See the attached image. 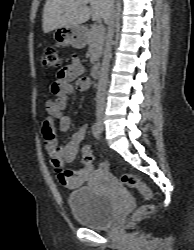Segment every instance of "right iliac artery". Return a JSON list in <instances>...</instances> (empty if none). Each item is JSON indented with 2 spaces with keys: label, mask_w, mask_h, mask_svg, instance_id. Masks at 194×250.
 <instances>
[{
  "label": "right iliac artery",
  "mask_w": 194,
  "mask_h": 250,
  "mask_svg": "<svg viewBox=\"0 0 194 250\" xmlns=\"http://www.w3.org/2000/svg\"><path fill=\"white\" fill-rule=\"evenodd\" d=\"M92 133H93V136L95 138H99V135H100V127H99V123L98 122H95L92 126Z\"/></svg>",
  "instance_id": "right-iliac-artery-1"
}]
</instances>
